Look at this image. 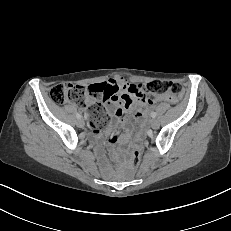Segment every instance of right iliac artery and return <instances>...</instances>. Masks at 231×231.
<instances>
[{
    "label": "right iliac artery",
    "instance_id": "right-iliac-artery-1",
    "mask_svg": "<svg viewBox=\"0 0 231 231\" xmlns=\"http://www.w3.org/2000/svg\"><path fill=\"white\" fill-rule=\"evenodd\" d=\"M76 117H77L78 119H81L82 116H81L80 114H77Z\"/></svg>",
    "mask_w": 231,
    "mask_h": 231
}]
</instances>
